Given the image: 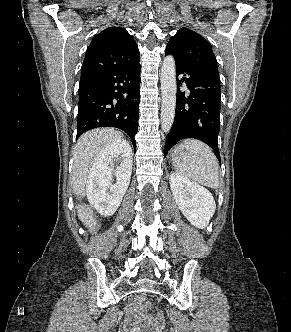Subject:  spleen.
<instances>
[{
    "mask_svg": "<svg viewBox=\"0 0 291 332\" xmlns=\"http://www.w3.org/2000/svg\"><path fill=\"white\" fill-rule=\"evenodd\" d=\"M172 164L186 179L211 188L219 187V164L205 143L188 139L175 148Z\"/></svg>",
    "mask_w": 291,
    "mask_h": 332,
    "instance_id": "3e777b00",
    "label": "spleen"
}]
</instances>
